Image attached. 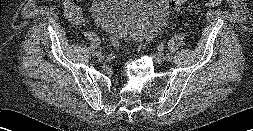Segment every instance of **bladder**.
I'll return each instance as SVG.
<instances>
[{
    "label": "bladder",
    "instance_id": "obj_1",
    "mask_svg": "<svg viewBox=\"0 0 253 131\" xmlns=\"http://www.w3.org/2000/svg\"><path fill=\"white\" fill-rule=\"evenodd\" d=\"M91 11L96 23L121 42L155 36L169 13L162 0H94Z\"/></svg>",
    "mask_w": 253,
    "mask_h": 131
}]
</instances>
